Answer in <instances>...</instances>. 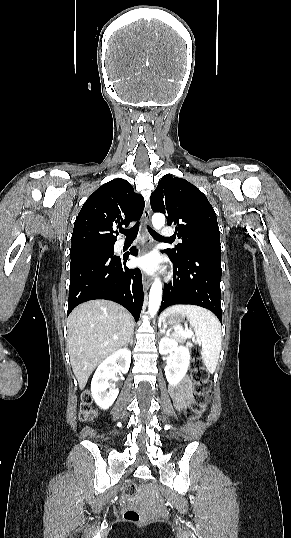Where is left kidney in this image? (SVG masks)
<instances>
[{"label": "left kidney", "instance_id": "5707ae66", "mask_svg": "<svg viewBox=\"0 0 291 538\" xmlns=\"http://www.w3.org/2000/svg\"><path fill=\"white\" fill-rule=\"evenodd\" d=\"M159 353L170 354L172 362L165 366V375L170 385H177L186 375L190 363V351L188 347L179 346L178 342L164 337L159 342Z\"/></svg>", "mask_w": 291, "mask_h": 538}]
</instances>
